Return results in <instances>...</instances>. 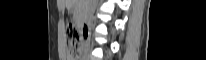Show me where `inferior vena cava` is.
<instances>
[{"instance_id":"1","label":"inferior vena cava","mask_w":206,"mask_h":60,"mask_svg":"<svg viewBox=\"0 0 206 60\" xmlns=\"http://www.w3.org/2000/svg\"><path fill=\"white\" fill-rule=\"evenodd\" d=\"M92 18H93V15H92V13L89 11V12H88V21L91 22V21H92Z\"/></svg>"}]
</instances>
